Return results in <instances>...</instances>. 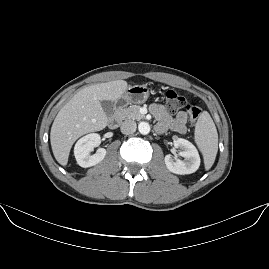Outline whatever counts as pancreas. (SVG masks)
Returning a JSON list of instances; mask_svg holds the SVG:
<instances>
[{
  "instance_id": "obj_1",
  "label": "pancreas",
  "mask_w": 269,
  "mask_h": 269,
  "mask_svg": "<svg viewBox=\"0 0 269 269\" xmlns=\"http://www.w3.org/2000/svg\"><path fill=\"white\" fill-rule=\"evenodd\" d=\"M116 115L118 116L120 120H125V119L140 120L144 116L140 113V106L138 105H131L128 108H122L116 112Z\"/></svg>"
}]
</instances>
